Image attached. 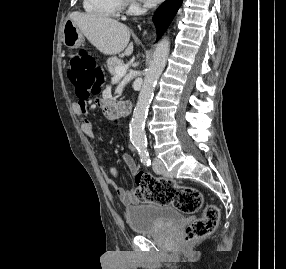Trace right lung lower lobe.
<instances>
[{
  "label": "right lung lower lobe",
  "mask_w": 286,
  "mask_h": 269,
  "mask_svg": "<svg viewBox=\"0 0 286 269\" xmlns=\"http://www.w3.org/2000/svg\"><path fill=\"white\" fill-rule=\"evenodd\" d=\"M183 0H167L156 11L154 16L155 26L157 28L158 38L169 26Z\"/></svg>",
  "instance_id": "right-lung-lower-lobe-1"
}]
</instances>
